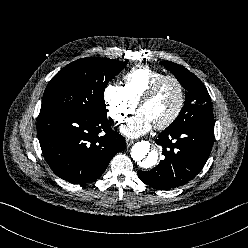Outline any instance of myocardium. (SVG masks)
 <instances>
[{
    "label": "myocardium",
    "instance_id": "obj_1",
    "mask_svg": "<svg viewBox=\"0 0 248 248\" xmlns=\"http://www.w3.org/2000/svg\"><path fill=\"white\" fill-rule=\"evenodd\" d=\"M166 80H172L177 85L178 91H179V103L175 111L166 120H164L163 122L159 124L154 125V128L157 130L165 129L169 127L171 124H173L178 119V117L180 116V114L182 113L184 109L185 102H186V92L180 79L174 75H162L161 77L157 78L148 87V89L144 92V94L141 96V98L139 99L137 103V106L140 109L144 103L149 101L155 95L160 85Z\"/></svg>",
    "mask_w": 248,
    "mask_h": 248
}]
</instances>
